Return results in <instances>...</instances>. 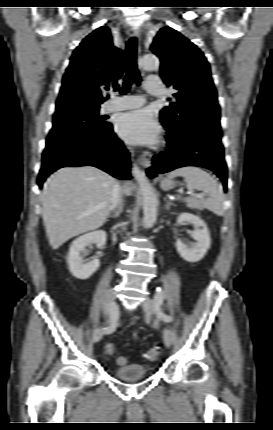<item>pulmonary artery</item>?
Segmentation results:
<instances>
[{
    "label": "pulmonary artery",
    "instance_id": "pulmonary-artery-1",
    "mask_svg": "<svg viewBox=\"0 0 273 430\" xmlns=\"http://www.w3.org/2000/svg\"><path fill=\"white\" fill-rule=\"evenodd\" d=\"M146 90L148 93L154 96H160L163 94L162 83L158 78H149L146 81ZM145 100L143 97L138 95L122 96L109 101L105 105L106 112L121 111L127 109H134L142 106Z\"/></svg>",
    "mask_w": 273,
    "mask_h": 430
}]
</instances>
